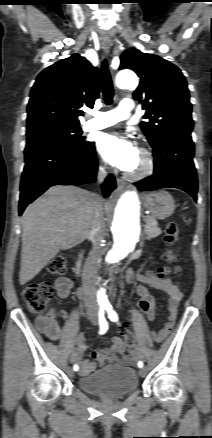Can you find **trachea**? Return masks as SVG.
<instances>
[{
    "label": "trachea",
    "instance_id": "3493384b",
    "mask_svg": "<svg viewBox=\"0 0 212 438\" xmlns=\"http://www.w3.org/2000/svg\"><path fill=\"white\" fill-rule=\"evenodd\" d=\"M101 84L105 104L110 105L113 102L114 87L109 72L107 60H104L101 65Z\"/></svg>",
    "mask_w": 212,
    "mask_h": 438
}]
</instances>
